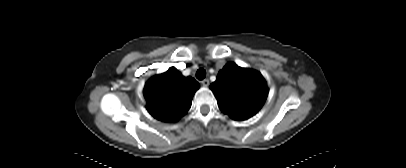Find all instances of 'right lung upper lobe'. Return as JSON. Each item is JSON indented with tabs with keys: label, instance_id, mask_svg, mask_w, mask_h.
Masks as SVG:
<instances>
[{
	"label": "right lung upper lobe",
	"instance_id": "obj_1",
	"mask_svg": "<svg viewBox=\"0 0 406 168\" xmlns=\"http://www.w3.org/2000/svg\"><path fill=\"white\" fill-rule=\"evenodd\" d=\"M199 84L184 77L175 67L151 78L144 87L149 113L164 122L178 120L189 110Z\"/></svg>",
	"mask_w": 406,
	"mask_h": 168
}]
</instances>
